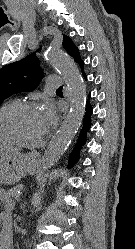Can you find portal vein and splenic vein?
<instances>
[{
  "instance_id": "portal-vein-and-splenic-vein-1",
  "label": "portal vein and splenic vein",
  "mask_w": 135,
  "mask_h": 249,
  "mask_svg": "<svg viewBox=\"0 0 135 249\" xmlns=\"http://www.w3.org/2000/svg\"><path fill=\"white\" fill-rule=\"evenodd\" d=\"M15 199H16V200H19V196H17Z\"/></svg>"
}]
</instances>
